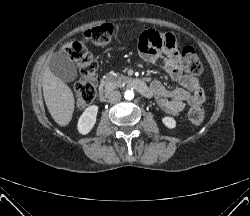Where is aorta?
I'll return each instance as SVG.
<instances>
[{"mask_svg": "<svg viewBox=\"0 0 250 216\" xmlns=\"http://www.w3.org/2000/svg\"><path fill=\"white\" fill-rule=\"evenodd\" d=\"M125 99L132 100L134 98V92L132 90H127L124 94Z\"/></svg>", "mask_w": 250, "mask_h": 216, "instance_id": "1", "label": "aorta"}]
</instances>
